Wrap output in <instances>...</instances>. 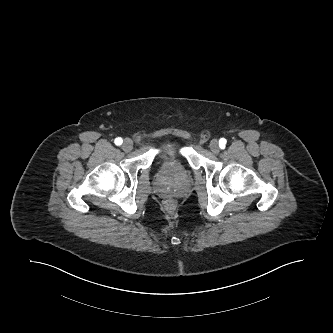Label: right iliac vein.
Wrapping results in <instances>:
<instances>
[{"instance_id": "right-iliac-vein-1", "label": "right iliac vein", "mask_w": 333, "mask_h": 333, "mask_svg": "<svg viewBox=\"0 0 333 333\" xmlns=\"http://www.w3.org/2000/svg\"><path fill=\"white\" fill-rule=\"evenodd\" d=\"M122 149L125 152H130L133 149V142L130 139H125L122 145Z\"/></svg>"}]
</instances>
